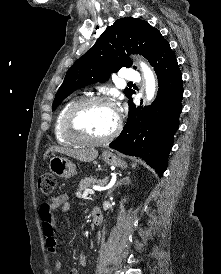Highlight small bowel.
Masks as SVG:
<instances>
[{"mask_svg": "<svg viewBox=\"0 0 221 274\" xmlns=\"http://www.w3.org/2000/svg\"><path fill=\"white\" fill-rule=\"evenodd\" d=\"M68 196L63 194L55 198L44 201L39 209L41 227L45 237L47 250L56 254L58 250V240L56 235V220L54 212L61 209L62 212H67L69 209ZM62 269V263L59 259L55 262V271L59 273ZM68 274H80L77 268H72Z\"/></svg>", "mask_w": 221, "mask_h": 274, "instance_id": "c3829d8e", "label": "small bowel"}]
</instances>
